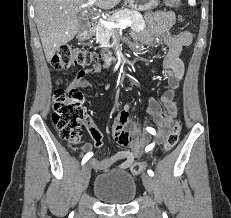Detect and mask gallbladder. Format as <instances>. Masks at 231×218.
Masks as SVG:
<instances>
[{
	"instance_id": "bac80fb5",
	"label": "gallbladder",
	"mask_w": 231,
	"mask_h": 218,
	"mask_svg": "<svg viewBox=\"0 0 231 218\" xmlns=\"http://www.w3.org/2000/svg\"><path fill=\"white\" fill-rule=\"evenodd\" d=\"M80 23H81V25H84V22H83V21H81Z\"/></svg>"
}]
</instances>
